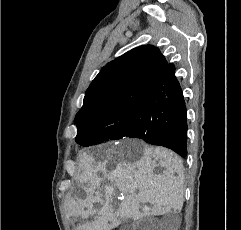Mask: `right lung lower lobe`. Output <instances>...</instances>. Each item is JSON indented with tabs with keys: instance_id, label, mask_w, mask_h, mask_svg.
Here are the masks:
<instances>
[{
	"instance_id": "98d812e1",
	"label": "right lung lower lobe",
	"mask_w": 241,
	"mask_h": 230,
	"mask_svg": "<svg viewBox=\"0 0 241 230\" xmlns=\"http://www.w3.org/2000/svg\"><path fill=\"white\" fill-rule=\"evenodd\" d=\"M171 64L164 76L162 88L155 100L145 109V118L150 120L143 131L125 133L130 138L164 146L182 157L187 155V113L183 93Z\"/></svg>"
}]
</instances>
